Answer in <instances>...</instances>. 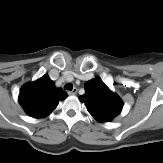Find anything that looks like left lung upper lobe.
Returning a JSON list of instances; mask_svg holds the SVG:
<instances>
[{
	"label": "left lung upper lobe",
	"mask_w": 163,
	"mask_h": 163,
	"mask_svg": "<svg viewBox=\"0 0 163 163\" xmlns=\"http://www.w3.org/2000/svg\"><path fill=\"white\" fill-rule=\"evenodd\" d=\"M85 94L79 99L88 112L100 122H110L121 113L123 102L103 81L96 77L85 83Z\"/></svg>",
	"instance_id": "obj_1"
}]
</instances>
